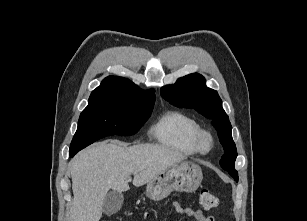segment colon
I'll return each instance as SVG.
<instances>
[{
  "instance_id": "obj_1",
  "label": "colon",
  "mask_w": 307,
  "mask_h": 221,
  "mask_svg": "<svg viewBox=\"0 0 307 221\" xmlns=\"http://www.w3.org/2000/svg\"><path fill=\"white\" fill-rule=\"evenodd\" d=\"M199 202L205 209H214L220 204L218 197L206 188L199 190Z\"/></svg>"
}]
</instances>
